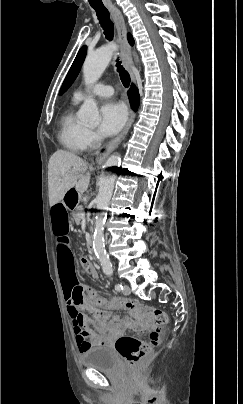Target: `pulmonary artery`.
I'll use <instances>...</instances> for the list:
<instances>
[{
	"instance_id": "e3ab8cb5",
	"label": "pulmonary artery",
	"mask_w": 243,
	"mask_h": 404,
	"mask_svg": "<svg viewBox=\"0 0 243 404\" xmlns=\"http://www.w3.org/2000/svg\"><path fill=\"white\" fill-rule=\"evenodd\" d=\"M99 55L103 56L102 63L105 65L108 61L107 55H105V50L101 51ZM87 93H92L97 96H110L113 93V87L110 81L103 80L99 81L90 87H80L76 90V94L79 98H84Z\"/></svg>"
}]
</instances>
